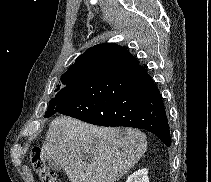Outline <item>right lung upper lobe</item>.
I'll return each mask as SVG.
<instances>
[{"label": "right lung upper lobe", "mask_w": 211, "mask_h": 182, "mask_svg": "<svg viewBox=\"0 0 211 182\" xmlns=\"http://www.w3.org/2000/svg\"><path fill=\"white\" fill-rule=\"evenodd\" d=\"M91 49H92V48L87 49L86 52H84L82 55H80V56L76 59L75 63H74L70 68L77 67V66L85 67L86 62H87V60H88V58H89Z\"/></svg>", "instance_id": "1"}]
</instances>
